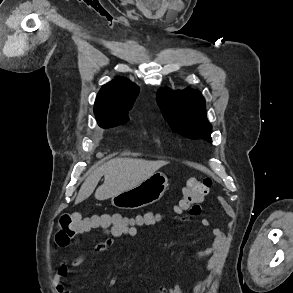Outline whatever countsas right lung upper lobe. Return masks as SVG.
<instances>
[{"label": "right lung upper lobe", "mask_w": 293, "mask_h": 293, "mask_svg": "<svg viewBox=\"0 0 293 293\" xmlns=\"http://www.w3.org/2000/svg\"><path fill=\"white\" fill-rule=\"evenodd\" d=\"M139 87L126 78L116 77L102 87L97 95L94 113L97 119L125 115L138 96Z\"/></svg>", "instance_id": "obj_1"}]
</instances>
